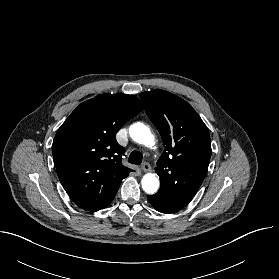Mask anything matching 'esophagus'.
Returning a JSON list of instances; mask_svg holds the SVG:
<instances>
[{"instance_id":"obj_1","label":"esophagus","mask_w":279,"mask_h":279,"mask_svg":"<svg viewBox=\"0 0 279 279\" xmlns=\"http://www.w3.org/2000/svg\"><path fill=\"white\" fill-rule=\"evenodd\" d=\"M141 169L143 172H150L151 171V166L149 163L144 162L141 166Z\"/></svg>"}]
</instances>
